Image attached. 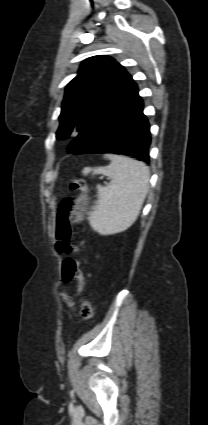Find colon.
I'll list each match as a JSON object with an SVG mask.
<instances>
[{"instance_id":"obj_1","label":"colon","mask_w":208,"mask_h":425,"mask_svg":"<svg viewBox=\"0 0 208 425\" xmlns=\"http://www.w3.org/2000/svg\"><path fill=\"white\" fill-rule=\"evenodd\" d=\"M71 189L77 193L76 197L65 198L61 201L56 218V249L60 253H79L80 248L71 242L74 225L81 221L86 204L87 185L81 178L71 180ZM82 259L67 258L61 265V276L66 282L74 281L77 284V297L80 303V317L89 320L93 316V308L85 296L87 281L81 269ZM64 300L69 306L74 305L73 297L63 293Z\"/></svg>"}]
</instances>
